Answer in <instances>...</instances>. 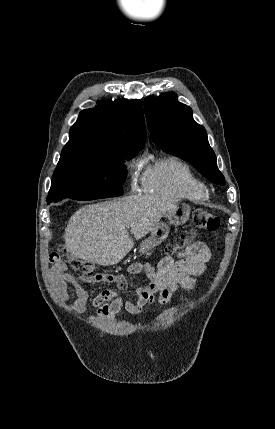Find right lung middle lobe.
<instances>
[{
	"mask_svg": "<svg viewBox=\"0 0 275 429\" xmlns=\"http://www.w3.org/2000/svg\"><path fill=\"white\" fill-rule=\"evenodd\" d=\"M136 154L60 158L47 197L48 204L65 198L85 201L121 196V184L127 176L124 160Z\"/></svg>",
	"mask_w": 275,
	"mask_h": 429,
	"instance_id": "1",
	"label": "right lung middle lobe"
}]
</instances>
